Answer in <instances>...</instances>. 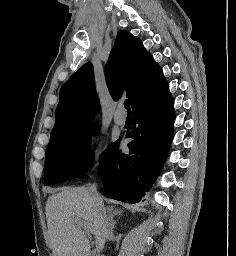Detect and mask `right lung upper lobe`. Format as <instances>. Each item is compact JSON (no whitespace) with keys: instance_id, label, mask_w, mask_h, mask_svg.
<instances>
[{"instance_id":"right-lung-upper-lobe-1","label":"right lung upper lobe","mask_w":236,"mask_h":256,"mask_svg":"<svg viewBox=\"0 0 236 256\" xmlns=\"http://www.w3.org/2000/svg\"><path fill=\"white\" fill-rule=\"evenodd\" d=\"M106 83L114 100L126 90L132 108L166 82L161 67L141 40L121 30L106 64ZM93 66L84 64L60 91L55 125L50 140L66 135L91 122L97 107Z\"/></svg>"}]
</instances>
